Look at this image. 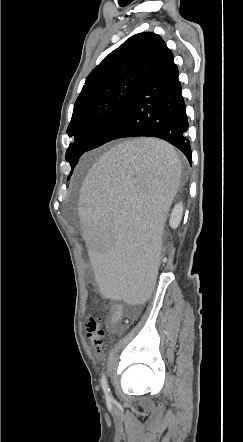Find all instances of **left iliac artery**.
<instances>
[{
    "instance_id": "44dca946",
    "label": "left iliac artery",
    "mask_w": 243,
    "mask_h": 442,
    "mask_svg": "<svg viewBox=\"0 0 243 442\" xmlns=\"http://www.w3.org/2000/svg\"><path fill=\"white\" fill-rule=\"evenodd\" d=\"M100 383H101V386H102V389H103V392L105 394L106 399L107 400H111L112 396H111V393H110V389L108 387V383H107V379H106L105 373H103V375H102V377L100 379Z\"/></svg>"
}]
</instances>
